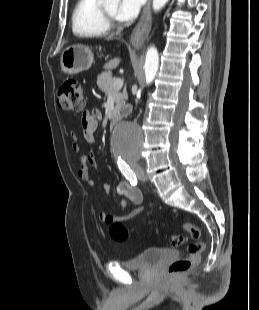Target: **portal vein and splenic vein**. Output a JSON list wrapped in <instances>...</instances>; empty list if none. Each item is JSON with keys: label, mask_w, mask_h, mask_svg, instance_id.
Returning <instances> with one entry per match:
<instances>
[{"label": "portal vein and splenic vein", "mask_w": 259, "mask_h": 310, "mask_svg": "<svg viewBox=\"0 0 259 310\" xmlns=\"http://www.w3.org/2000/svg\"><path fill=\"white\" fill-rule=\"evenodd\" d=\"M123 87V79L117 78L113 82L112 88L115 90H120Z\"/></svg>", "instance_id": "portal-vein-and-splenic-vein-1"}]
</instances>
